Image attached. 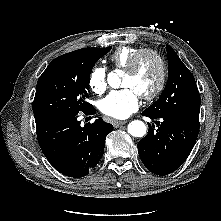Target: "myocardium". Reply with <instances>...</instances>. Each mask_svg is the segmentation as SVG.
<instances>
[{"instance_id": "f54148a6", "label": "myocardium", "mask_w": 221, "mask_h": 221, "mask_svg": "<svg viewBox=\"0 0 221 221\" xmlns=\"http://www.w3.org/2000/svg\"><path fill=\"white\" fill-rule=\"evenodd\" d=\"M144 55H151L158 62V65L160 68V78L155 89L151 91L150 93L141 95V98L145 100H152L161 94V92L163 91L165 87L166 80H167V67H166V63L162 55L158 53L156 50H153L150 48L141 49L137 53H135V55L132 57L125 71L128 74H134L138 68L141 58Z\"/></svg>"}]
</instances>
